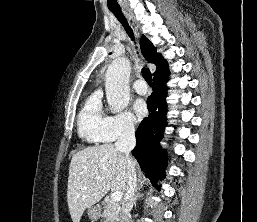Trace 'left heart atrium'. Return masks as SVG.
Here are the masks:
<instances>
[{
	"label": "left heart atrium",
	"mask_w": 257,
	"mask_h": 222,
	"mask_svg": "<svg viewBox=\"0 0 257 222\" xmlns=\"http://www.w3.org/2000/svg\"><path fill=\"white\" fill-rule=\"evenodd\" d=\"M134 112L136 114L137 119H143L147 114V106L144 101L137 100L134 105Z\"/></svg>",
	"instance_id": "39dd6f15"
}]
</instances>
